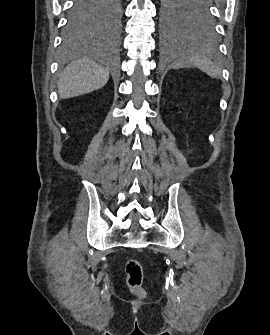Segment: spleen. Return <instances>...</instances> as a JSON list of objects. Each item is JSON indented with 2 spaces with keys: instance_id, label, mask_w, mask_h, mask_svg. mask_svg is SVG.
I'll use <instances>...</instances> for the list:
<instances>
[{
  "instance_id": "obj_1",
  "label": "spleen",
  "mask_w": 270,
  "mask_h": 335,
  "mask_svg": "<svg viewBox=\"0 0 270 335\" xmlns=\"http://www.w3.org/2000/svg\"><path fill=\"white\" fill-rule=\"evenodd\" d=\"M181 50H178L176 56L177 66H196L211 78H215L217 74H220L221 70L213 64L205 54H202L201 50L195 46V44H190L188 40L186 42H181Z\"/></svg>"
}]
</instances>
